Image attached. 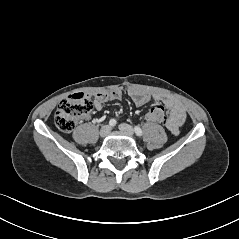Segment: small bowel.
<instances>
[{
	"label": "small bowel",
	"mask_w": 239,
	"mask_h": 239,
	"mask_svg": "<svg viewBox=\"0 0 239 239\" xmlns=\"http://www.w3.org/2000/svg\"><path fill=\"white\" fill-rule=\"evenodd\" d=\"M129 96L138 106L144 105L150 100L155 101L157 105L164 106L169 112L168 116H166L164 126L174 135L179 133L180 127L186 119V111L180 101L170 95L162 93L148 94L137 89L130 90ZM121 97L122 92L120 90L97 92L94 94V106L97 110H102L105 102L109 100H119Z\"/></svg>",
	"instance_id": "small-bowel-1"
}]
</instances>
